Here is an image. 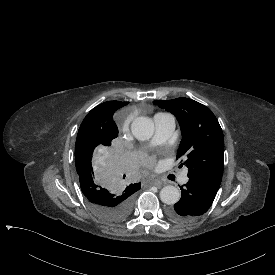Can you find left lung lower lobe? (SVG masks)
<instances>
[{
	"mask_svg": "<svg viewBox=\"0 0 275 275\" xmlns=\"http://www.w3.org/2000/svg\"><path fill=\"white\" fill-rule=\"evenodd\" d=\"M180 189L181 199L174 207L168 208L167 215L174 221L185 222L204 214L210 208L219 186L204 180L189 178L188 183Z\"/></svg>",
	"mask_w": 275,
	"mask_h": 275,
	"instance_id": "obj_1",
	"label": "left lung lower lobe"
}]
</instances>
